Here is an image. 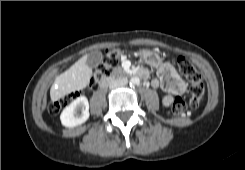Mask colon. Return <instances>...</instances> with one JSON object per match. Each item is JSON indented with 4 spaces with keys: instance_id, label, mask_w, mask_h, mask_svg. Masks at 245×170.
<instances>
[{
    "instance_id": "5ec220e1",
    "label": "colon",
    "mask_w": 245,
    "mask_h": 170,
    "mask_svg": "<svg viewBox=\"0 0 245 170\" xmlns=\"http://www.w3.org/2000/svg\"><path fill=\"white\" fill-rule=\"evenodd\" d=\"M118 61L117 51H108L105 54L103 62L99 65L98 75L93 79V85H97L101 77L107 76ZM178 67L180 72L189 79L190 86V100L191 108H197L200 100L205 92V85L201 74L196 70L194 65L185 57L178 58ZM79 97V93L74 92L63 96L60 100L49 105L48 111L52 115L58 114L62 108L66 107L73 100ZM186 109V103L181 96H176L173 101L172 112L175 116H180Z\"/></svg>"
}]
</instances>
